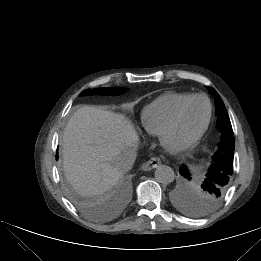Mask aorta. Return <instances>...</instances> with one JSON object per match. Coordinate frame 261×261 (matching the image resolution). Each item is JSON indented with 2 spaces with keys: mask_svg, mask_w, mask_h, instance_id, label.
Segmentation results:
<instances>
[{
  "mask_svg": "<svg viewBox=\"0 0 261 261\" xmlns=\"http://www.w3.org/2000/svg\"><path fill=\"white\" fill-rule=\"evenodd\" d=\"M175 174L171 167L160 165L155 170V179L162 184H169L174 181Z\"/></svg>",
  "mask_w": 261,
  "mask_h": 261,
  "instance_id": "762f6f07",
  "label": "aorta"
}]
</instances>
